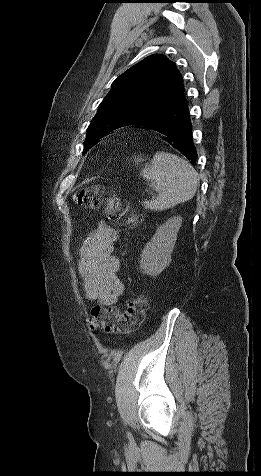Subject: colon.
I'll return each mask as SVG.
<instances>
[{
  "label": "colon",
  "mask_w": 261,
  "mask_h": 476,
  "mask_svg": "<svg viewBox=\"0 0 261 476\" xmlns=\"http://www.w3.org/2000/svg\"><path fill=\"white\" fill-rule=\"evenodd\" d=\"M75 202L84 208L101 212L119 224L134 225L136 222L129 208L110 189L102 186L81 189L75 195ZM147 309V300L142 296L130 299L122 313L112 306L96 305L89 313L90 328L93 331L128 334L143 323Z\"/></svg>",
  "instance_id": "obj_1"
}]
</instances>
